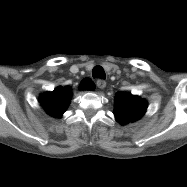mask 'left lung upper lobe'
<instances>
[{"mask_svg": "<svg viewBox=\"0 0 187 187\" xmlns=\"http://www.w3.org/2000/svg\"><path fill=\"white\" fill-rule=\"evenodd\" d=\"M146 108V102L138 96L119 92L116 94L113 112L120 123L126 124L139 119L145 113Z\"/></svg>", "mask_w": 187, "mask_h": 187, "instance_id": "obj_1", "label": "left lung upper lobe"}]
</instances>
